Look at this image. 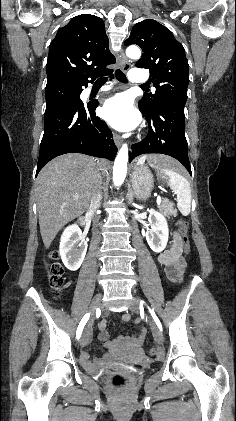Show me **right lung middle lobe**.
I'll return each mask as SVG.
<instances>
[{"instance_id": "1", "label": "right lung middle lobe", "mask_w": 236, "mask_h": 421, "mask_svg": "<svg viewBox=\"0 0 236 421\" xmlns=\"http://www.w3.org/2000/svg\"><path fill=\"white\" fill-rule=\"evenodd\" d=\"M45 97L47 102L46 109L61 104L83 105L80 99V89L77 87L63 85L46 86Z\"/></svg>"}]
</instances>
